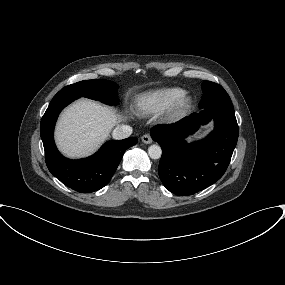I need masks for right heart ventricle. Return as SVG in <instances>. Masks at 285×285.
Returning a JSON list of instances; mask_svg holds the SVG:
<instances>
[{
    "mask_svg": "<svg viewBox=\"0 0 285 285\" xmlns=\"http://www.w3.org/2000/svg\"><path fill=\"white\" fill-rule=\"evenodd\" d=\"M185 91L179 87H167L142 94L136 100V109L144 115L156 114L170 107Z\"/></svg>",
    "mask_w": 285,
    "mask_h": 285,
    "instance_id": "1",
    "label": "right heart ventricle"
}]
</instances>
